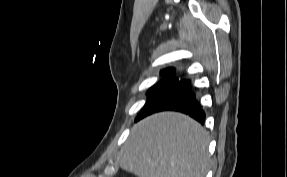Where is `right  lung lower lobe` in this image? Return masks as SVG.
I'll list each match as a JSON object with an SVG mask.
<instances>
[{"instance_id": "1", "label": "right lung lower lobe", "mask_w": 287, "mask_h": 177, "mask_svg": "<svg viewBox=\"0 0 287 177\" xmlns=\"http://www.w3.org/2000/svg\"><path fill=\"white\" fill-rule=\"evenodd\" d=\"M191 89L189 80L177 77L174 72L167 74L149 90L146 105L136 120L155 112L174 110L204 123L205 113Z\"/></svg>"}]
</instances>
